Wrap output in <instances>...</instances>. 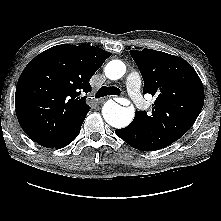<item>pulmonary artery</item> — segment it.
<instances>
[{
    "label": "pulmonary artery",
    "instance_id": "1",
    "mask_svg": "<svg viewBox=\"0 0 221 221\" xmlns=\"http://www.w3.org/2000/svg\"><path fill=\"white\" fill-rule=\"evenodd\" d=\"M128 93L132 101L141 110L148 108V103L143 100L140 93L141 78L137 72H131L126 79Z\"/></svg>",
    "mask_w": 221,
    "mask_h": 221
}]
</instances>
